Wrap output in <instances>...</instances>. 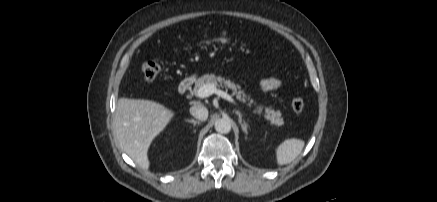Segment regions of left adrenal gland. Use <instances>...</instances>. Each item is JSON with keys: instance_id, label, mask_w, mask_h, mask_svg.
<instances>
[{"instance_id": "obj_1", "label": "left adrenal gland", "mask_w": 437, "mask_h": 202, "mask_svg": "<svg viewBox=\"0 0 437 202\" xmlns=\"http://www.w3.org/2000/svg\"><path fill=\"white\" fill-rule=\"evenodd\" d=\"M236 114L238 115V118H239V124L241 125V128H242L243 132H244L245 134H248V132H247V126H246V122H245L244 120H242V115H241V113H240L239 111H236Z\"/></svg>"}]
</instances>
